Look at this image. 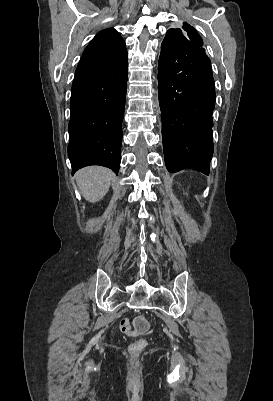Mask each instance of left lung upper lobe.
Masks as SVG:
<instances>
[{
    "label": "left lung upper lobe",
    "mask_w": 273,
    "mask_h": 401,
    "mask_svg": "<svg viewBox=\"0 0 273 401\" xmlns=\"http://www.w3.org/2000/svg\"><path fill=\"white\" fill-rule=\"evenodd\" d=\"M163 42L171 45L191 42L198 47H203L201 37L196 30L186 22L183 23L182 28L169 29Z\"/></svg>",
    "instance_id": "obj_1"
}]
</instances>
